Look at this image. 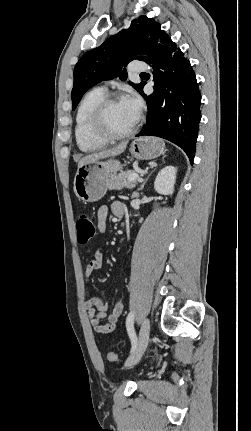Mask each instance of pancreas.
I'll return each mask as SVG.
<instances>
[{
    "mask_svg": "<svg viewBox=\"0 0 251 431\" xmlns=\"http://www.w3.org/2000/svg\"><path fill=\"white\" fill-rule=\"evenodd\" d=\"M135 173L132 170L123 171L119 174H113L110 176L107 187L110 190H121L123 188L132 189L138 183L137 180L129 181L128 178L131 174Z\"/></svg>",
    "mask_w": 251,
    "mask_h": 431,
    "instance_id": "obj_1",
    "label": "pancreas"
}]
</instances>
